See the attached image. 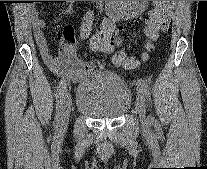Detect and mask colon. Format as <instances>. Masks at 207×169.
Wrapping results in <instances>:
<instances>
[{"instance_id":"obj_1","label":"colon","mask_w":207,"mask_h":169,"mask_svg":"<svg viewBox=\"0 0 207 169\" xmlns=\"http://www.w3.org/2000/svg\"><path fill=\"white\" fill-rule=\"evenodd\" d=\"M173 1H153V8L146 17L145 33L148 38L146 49H152V43L156 41L161 32L165 31L170 22V14ZM91 49L100 54H108L114 49H119L120 45L114 43V33L107 29H100L91 40ZM116 65L133 68L137 61L128 57L124 51L118 50L113 56Z\"/></svg>"}]
</instances>
